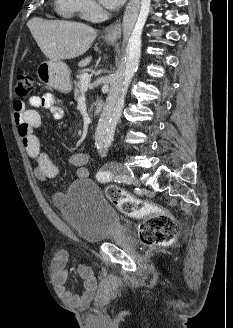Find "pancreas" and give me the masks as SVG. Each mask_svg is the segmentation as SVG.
Instances as JSON below:
<instances>
[{"mask_svg": "<svg viewBox=\"0 0 233 328\" xmlns=\"http://www.w3.org/2000/svg\"><path fill=\"white\" fill-rule=\"evenodd\" d=\"M78 81L74 88V98L77 100L80 97V91H81V75L77 77Z\"/></svg>", "mask_w": 233, "mask_h": 328, "instance_id": "cf45deb5", "label": "pancreas"}]
</instances>
